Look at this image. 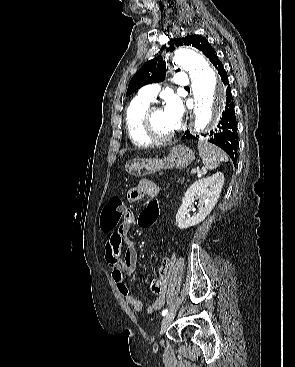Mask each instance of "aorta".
Instances as JSON below:
<instances>
[{
	"label": "aorta",
	"mask_w": 295,
	"mask_h": 367,
	"mask_svg": "<svg viewBox=\"0 0 295 367\" xmlns=\"http://www.w3.org/2000/svg\"><path fill=\"white\" fill-rule=\"evenodd\" d=\"M173 61L190 74L195 102L194 125L196 131H203L224 106V87L215 69L194 51L179 49Z\"/></svg>",
	"instance_id": "aorta-1"
}]
</instances>
